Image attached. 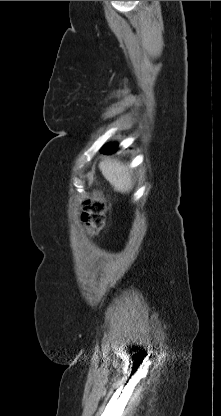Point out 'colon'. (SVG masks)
I'll return each instance as SVG.
<instances>
[{
	"label": "colon",
	"instance_id": "5ec220e1",
	"mask_svg": "<svg viewBox=\"0 0 221 416\" xmlns=\"http://www.w3.org/2000/svg\"><path fill=\"white\" fill-rule=\"evenodd\" d=\"M107 206L99 192L93 193L83 204L82 221L90 235H97L103 229Z\"/></svg>",
	"mask_w": 221,
	"mask_h": 416
}]
</instances>
